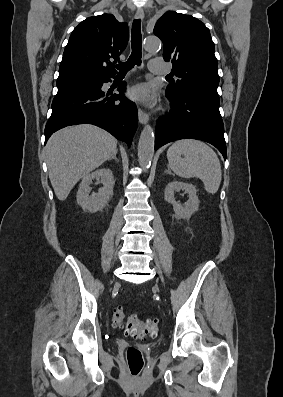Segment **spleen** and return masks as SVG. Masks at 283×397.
<instances>
[{
  "label": "spleen",
  "mask_w": 283,
  "mask_h": 397,
  "mask_svg": "<svg viewBox=\"0 0 283 397\" xmlns=\"http://www.w3.org/2000/svg\"><path fill=\"white\" fill-rule=\"evenodd\" d=\"M167 159L168 167L178 176L199 178L210 194L218 191L222 178L220 161L214 150L204 142L193 139L178 140L169 147Z\"/></svg>",
  "instance_id": "1"
}]
</instances>
